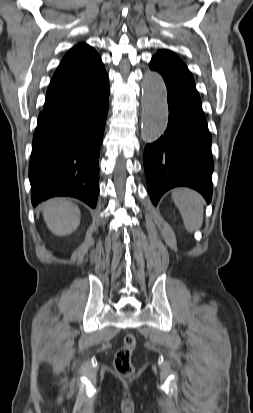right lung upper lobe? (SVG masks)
Wrapping results in <instances>:
<instances>
[{
    "label": "right lung upper lobe",
    "mask_w": 253,
    "mask_h": 413,
    "mask_svg": "<svg viewBox=\"0 0 253 413\" xmlns=\"http://www.w3.org/2000/svg\"><path fill=\"white\" fill-rule=\"evenodd\" d=\"M107 74L97 52L85 43L78 44L63 57L47 90L43 111L98 90Z\"/></svg>",
    "instance_id": "cb5924a9"
}]
</instances>
